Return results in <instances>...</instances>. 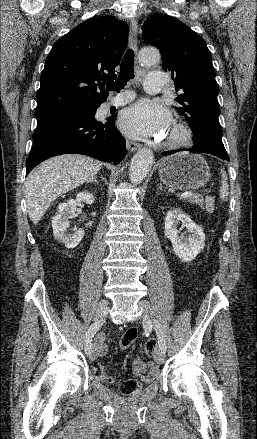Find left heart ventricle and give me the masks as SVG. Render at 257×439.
Returning a JSON list of instances; mask_svg holds the SVG:
<instances>
[{"label": "left heart ventricle", "instance_id": "b2bd125f", "mask_svg": "<svg viewBox=\"0 0 257 439\" xmlns=\"http://www.w3.org/2000/svg\"><path fill=\"white\" fill-rule=\"evenodd\" d=\"M173 137H174V133L172 132V130H170L169 133H168V135H167L166 140H169V139H171V138H173Z\"/></svg>", "mask_w": 257, "mask_h": 439}]
</instances>
